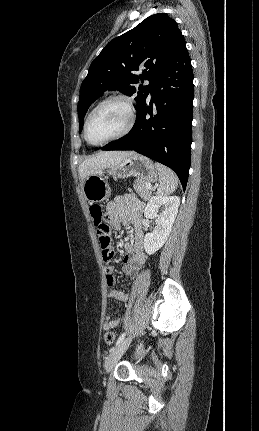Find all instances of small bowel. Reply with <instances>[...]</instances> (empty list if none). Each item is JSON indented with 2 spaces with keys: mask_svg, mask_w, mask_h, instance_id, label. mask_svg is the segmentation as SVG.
I'll return each mask as SVG.
<instances>
[{
  "mask_svg": "<svg viewBox=\"0 0 259 431\" xmlns=\"http://www.w3.org/2000/svg\"><path fill=\"white\" fill-rule=\"evenodd\" d=\"M142 208V203L130 194L114 198L106 207L108 222L113 227L118 229L121 225H126L132 229V240L123 244V249L126 252L123 259L124 271L131 280L136 279L137 274L145 263L144 235L141 224ZM105 272L108 286H113V266H106ZM108 296L113 300L126 302L129 298V293L127 291L111 289ZM119 323L120 320L118 318L106 316L103 328L111 330L118 327Z\"/></svg>",
  "mask_w": 259,
  "mask_h": 431,
  "instance_id": "obj_1",
  "label": "small bowel"
}]
</instances>
